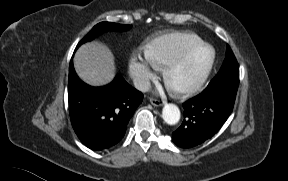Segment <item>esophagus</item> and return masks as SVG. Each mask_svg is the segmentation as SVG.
<instances>
[{
	"instance_id": "1",
	"label": "esophagus",
	"mask_w": 288,
	"mask_h": 181,
	"mask_svg": "<svg viewBox=\"0 0 288 181\" xmlns=\"http://www.w3.org/2000/svg\"><path fill=\"white\" fill-rule=\"evenodd\" d=\"M150 102L154 106H162L164 104V101H161V100L156 99V98H151Z\"/></svg>"
}]
</instances>
